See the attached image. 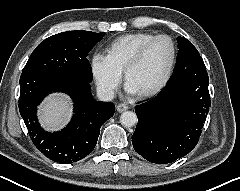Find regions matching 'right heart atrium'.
<instances>
[{
	"instance_id": "d8ad5b80",
	"label": "right heart atrium",
	"mask_w": 240,
	"mask_h": 191,
	"mask_svg": "<svg viewBox=\"0 0 240 191\" xmlns=\"http://www.w3.org/2000/svg\"><path fill=\"white\" fill-rule=\"evenodd\" d=\"M90 70L98 90L105 96L112 97L122 79V71L110 58L100 52L94 53L90 61Z\"/></svg>"
}]
</instances>
